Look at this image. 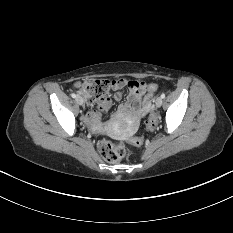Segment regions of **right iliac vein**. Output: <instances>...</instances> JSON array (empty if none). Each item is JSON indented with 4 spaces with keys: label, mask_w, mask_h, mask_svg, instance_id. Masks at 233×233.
I'll list each match as a JSON object with an SVG mask.
<instances>
[{
    "label": "right iliac vein",
    "mask_w": 233,
    "mask_h": 233,
    "mask_svg": "<svg viewBox=\"0 0 233 233\" xmlns=\"http://www.w3.org/2000/svg\"><path fill=\"white\" fill-rule=\"evenodd\" d=\"M76 101H77V103H78L79 105H83V104H84V100H83V98H82L81 96H77V97H76Z\"/></svg>",
    "instance_id": "63e3f726"
}]
</instances>
